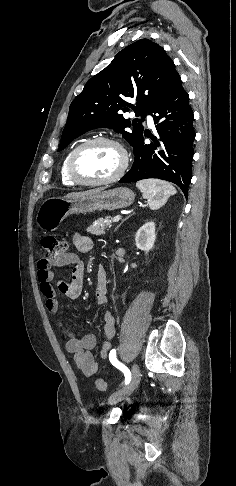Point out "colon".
Masks as SVG:
<instances>
[{"label":"colon","instance_id":"5ec220e1","mask_svg":"<svg viewBox=\"0 0 236 486\" xmlns=\"http://www.w3.org/2000/svg\"><path fill=\"white\" fill-rule=\"evenodd\" d=\"M43 248L46 253V259L50 262H57L65 253L67 244L64 240L57 238L56 236H46L42 241ZM96 388L101 392L108 390L107 384L102 379H97Z\"/></svg>","mask_w":236,"mask_h":486}]
</instances>
